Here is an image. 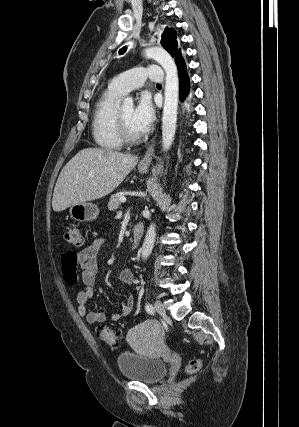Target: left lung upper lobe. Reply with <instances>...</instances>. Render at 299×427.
I'll use <instances>...</instances> for the list:
<instances>
[{
	"mask_svg": "<svg viewBox=\"0 0 299 427\" xmlns=\"http://www.w3.org/2000/svg\"><path fill=\"white\" fill-rule=\"evenodd\" d=\"M162 46L172 55L175 56L178 48L176 41V31L173 28L166 27L161 38Z\"/></svg>",
	"mask_w": 299,
	"mask_h": 427,
	"instance_id": "5c2ea615",
	"label": "left lung upper lobe"
}]
</instances>
